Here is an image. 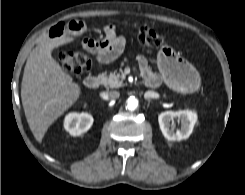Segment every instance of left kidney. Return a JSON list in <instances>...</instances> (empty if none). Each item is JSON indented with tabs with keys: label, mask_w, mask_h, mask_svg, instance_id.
I'll return each mask as SVG.
<instances>
[{
	"label": "left kidney",
	"mask_w": 245,
	"mask_h": 195,
	"mask_svg": "<svg viewBox=\"0 0 245 195\" xmlns=\"http://www.w3.org/2000/svg\"><path fill=\"white\" fill-rule=\"evenodd\" d=\"M174 120L181 122V128L176 131L174 130ZM158 121L160 129L167 140L181 141L191 135L197 122V114L189 110L165 111L159 115Z\"/></svg>",
	"instance_id": "1"
}]
</instances>
